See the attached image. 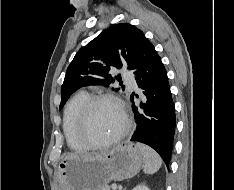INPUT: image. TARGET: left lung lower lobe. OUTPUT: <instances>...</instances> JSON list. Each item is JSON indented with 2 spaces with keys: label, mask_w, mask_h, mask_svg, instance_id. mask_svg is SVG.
<instances>
[{
  "label": "left lung lower lobe",
  "mask_w": 234,
  "mask_h": 190,
  "mask_svg": "<svg viewBox=\"0 0 234 190\" xmlns=\"http://www.w3.org/2000/svg\"><path fill=\"white\" fill-rule=\"evenodd\" d=\"M142 101L133 103L137 127L131 141L149 145L162 157L169 168L175 134V107L172 100L167 72L153 44L145 38L139 48L132 69ZM139 98L134 92L131 100Z\"/></svg>",
  "instance_id": "1"
}]
</instances>
